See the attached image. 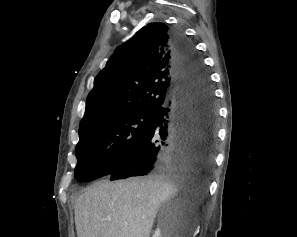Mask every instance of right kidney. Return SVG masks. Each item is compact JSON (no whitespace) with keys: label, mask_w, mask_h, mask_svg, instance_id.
Returning <instances> with one entry per match:
<instances>
[{"label":"right kidney","mask_w":297,"mask_h":237,"mask_svg":"<svg viewBox=\"0 0 297 237\" xmlns=\"http://www.w3.org/2000/svg\"><path fill=\"white\" fill-rule=\"evenodd\" d=\"M152 237H162V235H161V233H160V230L157 229V230L154 232V234H153Z\"/></svg>","instance_id":"ca27d5eb"}]
</instances>
